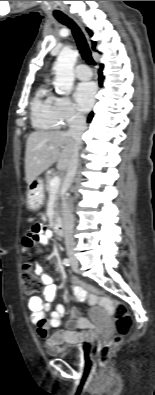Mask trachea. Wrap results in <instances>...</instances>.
Returning a JSON list of instances; mask_svg holds the SVG:
<instances>
[{"label": "trachea", "mask_w": 155, "mask_h": 395, "mask_svg": "<svg viewBox=\"0 0 155 395\" xmlns=\"http://www.w3.org/2000/svg\"><path fill=\"white\" fill-rule=\"evenodd\" d=\"M55 18L62 23L63 25H66L67 27H69L72 31V34L76 40L78 49L81 53L82 58L89 64L94 65L95 62L92 58L91 55V51L90 48L88 46V43L86 41V38L83 34V32L81 31V29L79 28V26L68 16H66L65 14H58L55 15Z\"/></svg>", "instance_id": "1"}]
</instances>
